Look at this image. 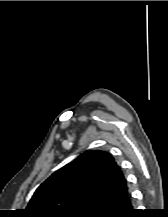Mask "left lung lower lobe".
Instances as JSON below:
<instances>
[{
	"label": "left lung lower lobe",
	"instance_id": "1",
	"mask_svg": "<svg viewBox=\"0 0 168 217\" xmlns=\"http://www.w3.org/2000/svg\"><path fill=\"white\" fill-rule=\"evenodd\" d=\"M136 214L129 189L126 187L107 202L98 217H135Z\"/></svg>",
	"mask_w": 168,
	"mask_h": 217
}]
</instances>
